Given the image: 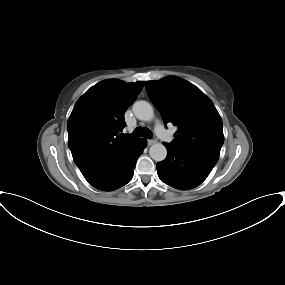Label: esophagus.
Returning a JSON list of instances; mask_svg holds the SVG:
<instances>
[{
    "label": "esophagus",
    "mask_w": 285,
    "mask_h": 285,
    "mask_svg": "<svg viewBox=\"0 0 285 285\" xmlns=\"http://www.w3.org/2000/svg\"><path fill=\"white\" fill-rule=\"evenodd\" d=\"M147 143H148L149 146H150V145H153V144L157 143V139H156V138L148 139V140H147Z\"/></svg>",
    "instance_id": "34e87169"
}]
</instances>
